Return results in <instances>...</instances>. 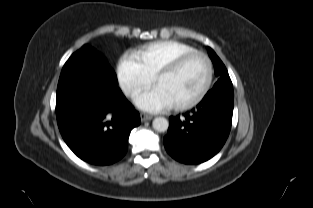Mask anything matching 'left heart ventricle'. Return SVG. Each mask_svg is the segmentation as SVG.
<instances>
[{"label": "left heart ventricle", "mask_w": 313, "mask_h": 208, "mask_svg": "<svg viewBox=\"0 0 313 208\" xmlns=\"http://www.w3.org/2000/svg\"><path fill=\"white\" fill-rule=\"evenodd\" d=\"M207 78V65L203 58L189 60L180 70L158 80L157 85L172 100L173 105L186 103L201 91Z\"/></svg>", "instance_id": "left-heart-ventricle-1"}]
</instances>
